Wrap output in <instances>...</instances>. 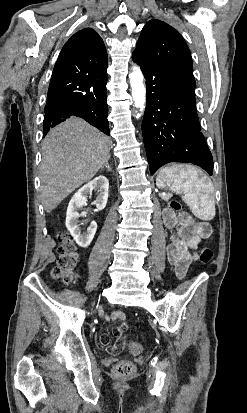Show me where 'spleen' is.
Returning <instances> with one entry per match:
<instances>
[{
    "instance_id": "obj_1",
    "label": "spleen",
    "mask_w": 247,
    "mask_h": 413,
    "mask_svg": "<svg viewBox=\"0 0 247 413\" xmlns=\"http://www.w3.org/2000/svg\"><path fill=\"white\" fill-rule=\"evenodd\" d=\"M156 184L159 188L171 184L172 192L182 194V200L188 204L196 217H200L202 221H209L214 207V200L211 198L214 186L211 178L200 168H181L174 174L172 168L165 166L158 172Z\"/></svg>"
}]
</instances>
